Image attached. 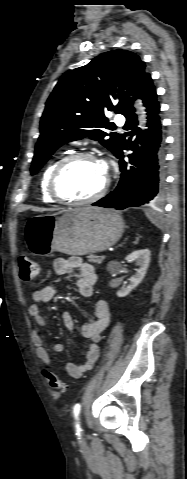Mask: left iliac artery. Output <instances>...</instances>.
I'll list each match as a JSON object with an SVG mask.
<instances>
[{
	"mask_svg": "<svg viewBox=\"0 0 187 479\" xmlns=\"http://www.w3.org/2000/svg\"><path fill=\"white\" fill-rule=\"evenodd\" d=\"M80 408H81V406H80V404H78V403L75 404V406H74V408H73V414H74L75 420L78 419V415H79V413H80ZM76 431H77L76 434H77V435H80L81 429H80V426H79L78 422H76Z\"/></svg>",
	"mask_w": 187,
	"mask_h": 479,
	"instance_id": "1",
	"label": "left iliac artery"
}]
</instances>
